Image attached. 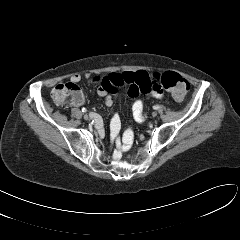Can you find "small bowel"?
I'll return each mask as SVG.
<instances>
[{
  "label": "small bowel",
  "mask_w": 240,
  "mask_h": 240,
  "mask_svg": "<svg viewBox=\"0 0 240 240\" xmlns=\"http://www.w3.org/2000/svg\"><path fill=\"white\" fill-rule=\"evenodd\" d=\"M157 74H150L146 71L136 72H122V73H109L103 77H95L92 79L93 82L100 83L97 88V94L103 98L107 106L113 104V94L117 93L119 88L127 85L128 95L135 98L132 105V112L134 120L138 123H142L146 120V114L144 112V105L141 99H138L139 95H149L157 99L163 98V89L160 83L156 80ZM89 78L90 75H86ZM82 79L80 74H73L70 77L72 83H78ZM74 106H81L84 103V96L82 95L79 99H75L72 102ZM92 118L95 122L96 127L100 132H103V120L96 114H92ZM112 136L117 137L120 131V118L118 114H115L111 121ZM128 135H131V131L128 130Z\"/></svg>",
  "instance_id": "small-bowel-1"
}]
</instances>
